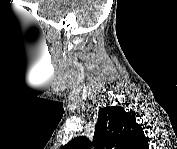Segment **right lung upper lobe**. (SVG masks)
I'll use <instances>...</instances> for the list:
<instances>
[{"instance_id":"right-lung-upper-lobe-1","label":"right lung upper lobe","mask_w":177,"mask_h":149,"mask_svg":"<svg viewBox=\"0 0 177 149\" xmlns=\"http://www.w3.org/2000/svg\"><path fill=\"white\" fill-rule=\"evenodd\" d=\"M93 146L96 149H143L147 139L135 116L123 107L101 109L95 125ZM91 142L84 136L69 141L64 149H90Z\"/></svg>"}]
</instances>
